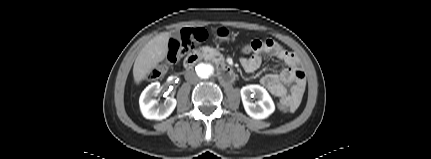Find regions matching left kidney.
Instances as JSON below:
<instances>
[{
	"label": "left kidney",
	"instance_id": "1",
	"mask_svg": "<svg viewBox=\"0 0 431 159\" xmlns=\"http://www.w3.org/2000/svg\"><path fill=\"white\" fill-rule=\"evenodd\" d=\"M241 98L246 113L257 120L269 117L275 110L274 102L267 90L260 85H247L242 87ZM251 95L258 99L251 102Z\"/></svg>",
	"mask_w": 431,
	"mask_h": 159
}]
</instances>
